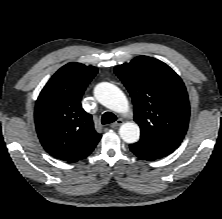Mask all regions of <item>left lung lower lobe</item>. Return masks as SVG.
Returning a JSON list of instances; mask_svg holds the SVG:
<instances>
[{
	"mask_svg": "<svg viewBox=\"0 0 222 219\" xmlns=\"http://www.w3.org/2000/svg\"><path fill=\"white\" fill-rule=\"evenodd\" d=\"M175 148L140 139L134 144H130V150L139 158L145 160H155L172 153Z\"/></svg>",
	"mask_w": 222,
	"mask_h": 219,
	"instance_id": "left-lung-lower-lobe-1",
	"label": "left lung lower lobe"
}]
</instances>
